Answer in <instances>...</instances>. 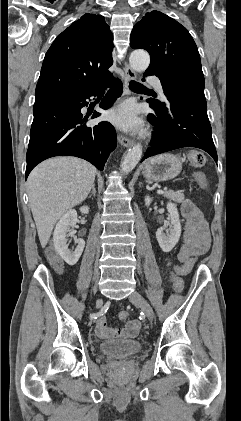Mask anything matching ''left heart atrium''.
Wrapping results in <instances>:
<instances>
[{
  "label": "left heart atrium",
  "instance_id": "left-heart-atrium-1",
  "mask_svg": "<svg viewBox=\"0 0 241 421\" xmlns=\"http://www.w3.org/2000/svg\"><path fill=\"white\" fill-rule=\"evenodd\" d=\"M107 117L112 123L124 130L138 131L142 127V123L136 115L135 108L131 104L120 105L111 110Z\"/></svg>",
  "mask_w": 241,
  "mask_h": 421
}]
</instances>
